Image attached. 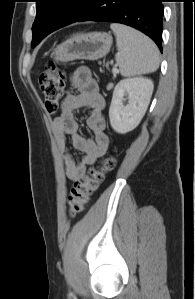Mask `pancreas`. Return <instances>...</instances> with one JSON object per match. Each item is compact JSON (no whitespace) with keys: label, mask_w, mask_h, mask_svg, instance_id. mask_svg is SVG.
<instances>
[{"label":"pancreas","mask_w":195,"mask_h":299,"mask_svg":"<svg viewBox=\"0 0 195 299\" xmlns=\"http://www.w3.org/2000/svg\"><path fill=\"white\" fill-rule=\"evenodd\" d=\"M112 87H113V84L109 83L108 86H107V89H111Z\"/></svg>","instance_id":"pancreas-1"}]
</instances>
